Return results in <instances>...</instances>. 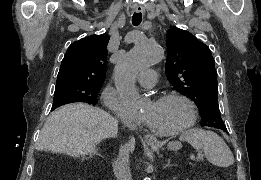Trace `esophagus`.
Segmentation results:
<instances>
[{
  "mask_svg": "<svg viewBox=\"0 0 261 180\" xmlns=\"http://www.w3.org/2000/svg\"><path fill=\"white\" fill-rule=\"evenodd\" d=\"M135 12H144L143 8H139V7H135L134 8ZM145 141L149 144V145H157L158 144V140L154 135H145Z\"/></svg>",
  "mask_w": 261,
  "mask_h": 180,
  "instance_id": "1",
  "label": "esophagus"
}]
</instances>
